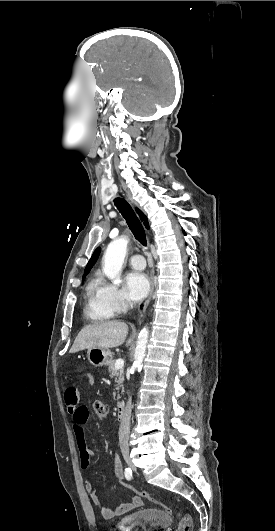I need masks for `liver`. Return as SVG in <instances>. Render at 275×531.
I'll return each instance as SVG.
<instances>
[{
    "label": "liver",
    "mask_w": 275,
    "mask_h": 531,
    "mask_svg": "<svg viewBox=\"0 0 275 531\" xmlns=\"http://www.w3.org/2000/svg\"><path fill=\"white\" fill-rule=\"evenodd\" d=\"M128 333L126 323L119 321H94L92 325H86L81 329L76 337L70 353H78L91 347H102V349H112L123 345ZM132 339H128L126 345L129 347Z\"/></svg>",
    "instance_id": "1"
}]
</instances>
